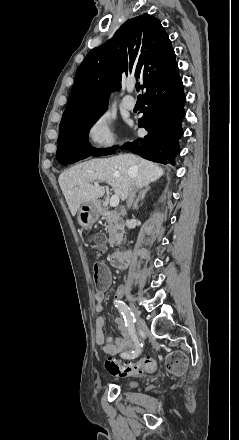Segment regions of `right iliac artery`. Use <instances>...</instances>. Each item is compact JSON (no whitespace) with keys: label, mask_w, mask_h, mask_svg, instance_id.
Here are the masks:
<instances>
[{"label":"right iliac artery","mask_w":239,"mask_h":440,"mask_svg":"<svg viewBox=\"0 0 239 440\" xmlns=\"http://www.w3.org/2000/svg\"><path fill=\"white\" fill-rule=\"evenodd\" d=\"M114 305L123 315L125 325L128 328L131 338L135 343V350L128 354H124L123 357L127 359H134L138 357L142 352V344H140L137 333L135 331L134 324L136 320L134 314L132 313L131 309L124 302L120 300H115Z\"/></svg>","instance_id":"obj_1"}]
</instances>
